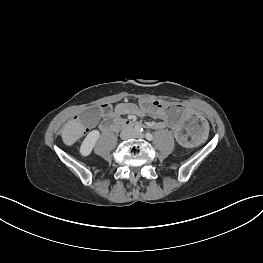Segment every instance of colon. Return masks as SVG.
<instances>
[{
	"label": "colon",
	"instance_id": "obj_1",
	"mask_svg": "<svg viewBox=\"0 0 263 263\" xmlns=\"http://www.w3.org/2000/svg\"><path fill=\"white\" fill-rule=\"evenodd\" d=\"M102 110H103L104 113H108L110 111V108H109L108 105H104Z\"/></svg>",
	"mask_w": 263,
	"mask_h": 263
}]
</instances>
